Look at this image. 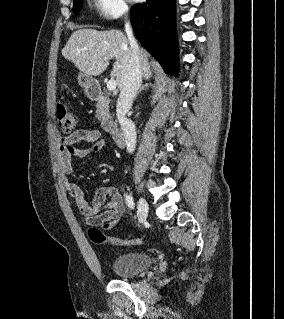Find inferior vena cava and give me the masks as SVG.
I'll use <instances>...</instances> for the list:
<instances>
[{"mask_svg": "<svg viewBox=\"0 0 284 319\" xmlns=\"http://www.w3.org/2000/svg\"><path fill=\"white\" fill-rule=\"evenodd\" d=\"M125 32L129 41L131 57L127 66V72L124 77L123 86L120 89L116 112L125 137L127 152L133 153L136 147V128L134 123L126 117V114L130 110L133 99L140 88L142 82V71L140 65L139 46L133 35L129 22H126L125 24Z\"/></svg>", "mask_w": 284, "mask_h": 319, "instance_id": "602c4592", "label": "inferior vena cava"}]
</instances>
